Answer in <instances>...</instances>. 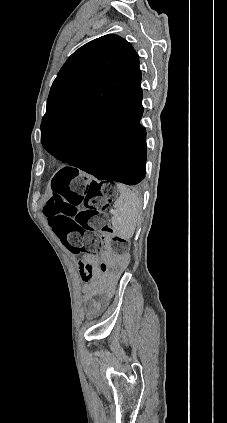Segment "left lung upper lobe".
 Here are the masks:
<instances>
[{
	"mask_svg": "<svg viewBox=\"0 0 227 423\" xmlns=\"http://www.w3.org/2000/svg\"><path fill=\"white\" fill-rule=\"evenodd\" d=\"M139 57L117 35H105L76 50L54 80L41 123V143L81 135L113 112L143 111Z\"/></svg>",
	"mask_w": 227,
	"mask_h": 423,
	"instance_id": "5c2ea615",
	"label": "left lung upper lobe"
}]
</instances>
